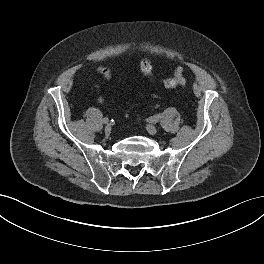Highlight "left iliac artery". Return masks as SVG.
Masks as SVG:
<instances>
[{
  "label": "left iliac artery",
  "instance_id": "left-iliac-artery-1",
  "mask_svg": "<svg viewBox=\"0 0 264 264\" xmlns=\"http://www.w3.org/2000/svg\"><path fill=\"white\" fill-rule=\"evenodd\" d=\"M161 117L162 116L160 114H157L155 116L149 117L148 121L150 123H157L161 119Z\"/></svg>",
  "mask_w": 264,
  "mask_h": 264
}]
</instances>
